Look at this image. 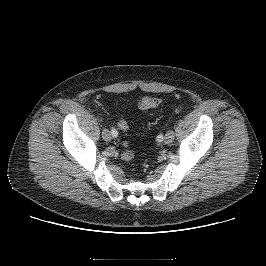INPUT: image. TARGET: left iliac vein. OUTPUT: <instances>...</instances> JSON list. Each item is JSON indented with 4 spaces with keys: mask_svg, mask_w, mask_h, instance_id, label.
Returning a JSON list of instances; mask_svg holds the SVG:
<instances>
[{
    "mask_svg": "<svg viewBox=\"0 0 266 266\" xmlns=\"http://www.w3.org/2000/svg\"><path fill=\"white\" fill-rule=\"evenodd\" d=\"M174 140V132L172 130H168L164 137V142L166 144H170Z\"/></svg>",
    "mask_w": 266,
    "mask_h": 266,
    "instance_id": "4c4485c4",
    "label": "left iliac vein"
}]
</instances>
